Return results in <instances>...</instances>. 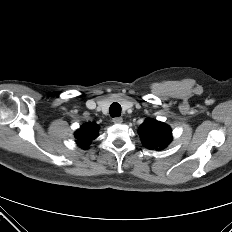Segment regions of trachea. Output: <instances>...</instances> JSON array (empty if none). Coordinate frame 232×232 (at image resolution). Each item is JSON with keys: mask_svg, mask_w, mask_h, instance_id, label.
Masks as SVG:
<instances>
[{"mask_svg": "<svg viewBox=\"0 0 232 232\" xmlns=\"http://www.w3.org/2000/svg\"><path fill=\"white\" fill-rule=\"evenodd\" d=\"M110 116L111 117H117V116H120L121 115V106L119 103H112L111 106H110Z\"/></svg>", "mask_w": 232, "mask_h": 232, "instance_id": "3493384b", "label": "trachea"}]
</instances>
